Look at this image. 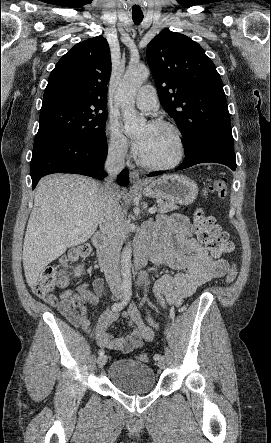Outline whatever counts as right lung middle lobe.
I'll return each instance as SVG.
<instances>
[{"instance_id":"1","label":"right lung middle lobe","mask_w":271,"mask_h":443,"mask_svg":"<svg viewBox=\"0 0 271 443\" xmlns=\"http://www.w3.org/2000/svg\"><path fill=\"white\" fill-rule=\"evenodd\" d=\"M106 106L60 99L42 104L34 145L48 137H66L85 142L105 136Z\"/></svg>"}]
</instances>
